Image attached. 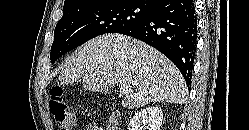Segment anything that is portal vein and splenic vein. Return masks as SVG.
I'll return each instance as SVG.
<instances>
[{"label":"portal vein and splenic vein","mask_w":249,"mask_h":130,"mask_svg":"<svg viewBox=\"0 0 249 130\" xmlns=\"http://www.w3.org/2000/svg\"><path fill=\"white\" fill-rule=\"evenodd\" d=\"M125 92H127V87L121 86L120 87V93H125Z\"/></svg>","instance_id":"portal-vein-and-splenic-vein-1"}]
</instances>
